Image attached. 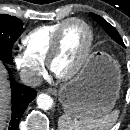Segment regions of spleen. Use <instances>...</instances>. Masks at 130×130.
<instances>
[{
  "mask_svg": "<svg viewBox=\"0 0 130 130\" xmlns=\"http://www.w3.org/2000/svg\"><path fill=\"white\" fill-rule=\"evenodd\" d=\"M119 116V110L105 114L100 118H84L81 120H72L64 114L58 120L59 130H110Z\"/></svg>",
  "mask_w": 130,
  "mask_h": 130,
  "instance_id": "spleen-1",
  "label": "spleen"
}]
</instances>
